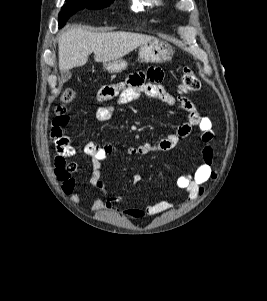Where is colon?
I'll list each match as a JSON object with an SVG mask.
<instances>
[{"label":"colon","instance_id":"5ec220e1","mask_svg":"<svg viewBox=\"0 0 267 301\" xmlns=\"http://www.w3.org/2000/svg\"><path fill=\"white\" fill-rule=\"evenodd\" d=\"M200 82L195 73L190 68H185L182 72L179 89L182 93H190L198 90ZM75 98V92L71 88H67L61 95V101L70 103Z\"/></svg>","mask_w":267,"mask_h":301}]
</instances>
